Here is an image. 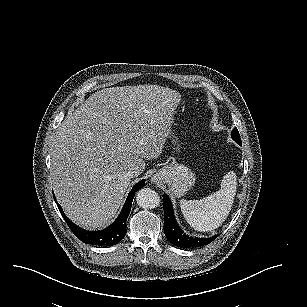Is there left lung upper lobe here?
<instances>
[{
    "mask_svg": "<svg viewBox=\"0 0 307 307\" xmlns=\"http://www.w3.org/2000/svg\"><path fill=\"white\" fill-rule=\"evenodd\" d=\"M231 136H232V139H233L234 141H236L239 145L242 146L240 134H239L237 128H235V129L232 130Z\"/></svg>",
    "mask_w": 307,
    "mask_h": 307,
    "instance_id": "obj_1",
    "label": "left lung upper lobe"
}]
</instances>
